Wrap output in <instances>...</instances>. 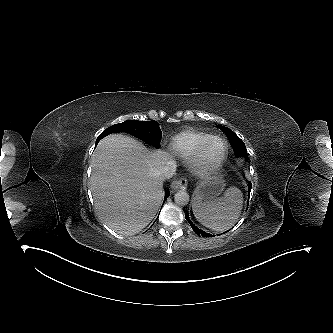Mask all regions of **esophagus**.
<instances>
[{
    "instance_id": "obj_1",
    "label": "esophagus",
    "mask_w": 333,
    "mask_h": 333,
    "mask_svg": "<svg viewBox=\"0 0 333 333\" xmlns=\"http://www.w3.org/2000/svg\"><path fill=\"white\" fill-rule=\"evenodd\" d=\"M187 185H188L187 179L186 178H180L178 180H174L171 183V188L173 190H178V189L185 190L187 188Z\"/></svg>"
}]
</instances>
